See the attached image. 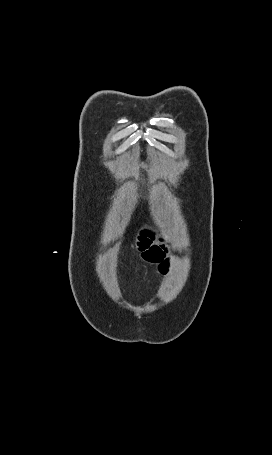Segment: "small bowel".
Listing matches in <instances>:
<instances>
[{"label":"small bowel","mask_w":272,"mask_h":455,"mask_svg":"<svg viewBox=\"0 0 272 455\" xmlns=\"http://www.w3.org/2000/svg\"><path fill=\"white\" fill-rule=\"evenodd\" d=\"M139 248L141 249L142 258L148 263L158 264L162 262L165 255L163 247L154 243L153 234L145 232L140 236Z\"/></svg>","instance_id":"small-bowel-1"}]
</instances>
